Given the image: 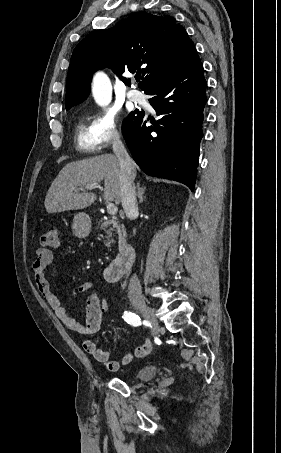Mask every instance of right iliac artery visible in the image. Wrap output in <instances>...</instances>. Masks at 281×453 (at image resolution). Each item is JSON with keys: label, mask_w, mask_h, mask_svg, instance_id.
<instances>
[{"label": "right iliac artery", "mask_w": 281, "mask_h": 453, "mask_svg": "<svg viewBox=\"0 0 281 453\" xmlns=\"http://www.w3.org/2000/svg\"><path fill=\"white\" fill-rule=\"evenodd\" d=\"M123 319L130 325L139 326L141 325L140 317L131 312H124Z\"/></svg>", "instance_id": "right-iliac-artery-1"}]
</instances>
